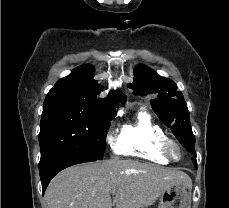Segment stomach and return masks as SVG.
<instances>
[{
	"mask_svg": "<svg viewBox=\"0 0 229 208\" xmlns=\"http://www.w3.org/2000/svg\"><path fill=\"white\" fill-rule=\"evenodd\" d=\"M191 192L185 184H173L163 190L158 208H191Z\"/></svg>",
	"mask_w": 229,
	"mask_h": 208,
	"instance_id": "0dacf381",
	"label": "stomach"
}]
</instances>
